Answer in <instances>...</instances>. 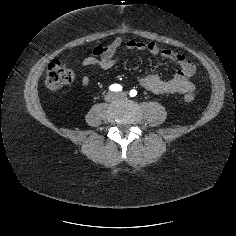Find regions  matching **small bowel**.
I'll use <instances>...</instances> for the list:
<instances>
[{
	"label": "small bowel",
	"instance_id": "obj_1",
	"mask_svg": "<svg viewBox=\"0 0 236 236\" xmlns=\"http://www.w3.org/2000/svg\"><path fill=\"white\" fill-rule=\"evenodd\" d=\"M122 45V40L117 38L110 45L101 47L102 52L97 56H89L82 60V66L87 68L98 65L102 69H110L115 66L118 61V49ZM125 48L128 50L149 51L153 55H160L165 59L175 61L179 67L177 72L169 79H161L155 75L141 76L137 78L140 86L155 94H187L195 90L196 86L191 81L195 67L193 63L182 53L169 49L161 48L154 42H142L136 40H128L125 42ZM91 83L89 76L85 75L81 78V84L88 87Z\"/></svg>",
	"mask_w": 236,
	"mask_h": 236
}]
</instances>
